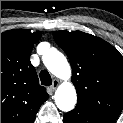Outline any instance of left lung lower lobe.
Masks as SVG:
<instances>
[{
  "mask_svg": "<svg viewBox=\"0 0 123 123\" xmlns=\"http://www.w3.org/2000/svg\"><path fill=\"white\" fill-rule=\"evenodd\" d=\"M115 115L77 104L76 108L64 115V123H114Z\"/></svg>",
  "mask_w": 123,
  "mask_h": 123,
  "instance_id": "obj_1",
  "label": "left lung lower lobe"
}]
</instances>
